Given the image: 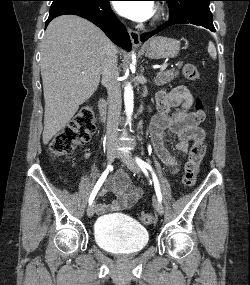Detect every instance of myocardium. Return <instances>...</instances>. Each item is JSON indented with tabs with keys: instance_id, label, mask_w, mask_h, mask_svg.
Segmentation results:
<instances>
[{
	"instance_id": "1",
	"label": "myocardium",
	"mask_w": 250,
	"mask_h": 285,
	"mask_svg": "<svg viewBox=\"0 0 250 285\" xmlns=\"http://www.w3.org/2000/svg\"><path fill=\"white\" fill-rule=\"evenodd\" d=\"M164 16V10L161 6H158L155 10L153 17V24L158 23Z\"/></svg>"
}]
</instances>
